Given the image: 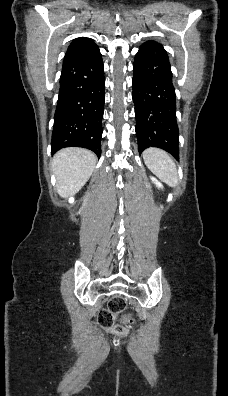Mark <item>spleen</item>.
<instances>
[{
	"label": "spleen",
	"mask_w": 228,
	"mask_h": 396,
	"mask_svg": "<svg viewBox=\"0 0 228 396\" xmlns=\"http://www.w3.org/2000/svg\"><path fill=\"white\" fill-rule=\"evenodd\" d=\"M146 166L171 187L178 185V173L172 157L159 148H148L143 153Z\"/></svg>",
	"instance_id": "3e777b00"
}]
</instances>
